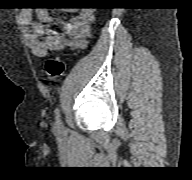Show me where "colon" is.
Masks as SVG:
<instances>
[{
    "instance_id": "obj_1",
    "label": "colon",
    "mask_w": 192,
    "mask_h": 180,
    "mask_svg": "<svg viewBox=\"0 0 192 180\" xmlns=\"http://www.w3.org/2000/svg\"><path fill=\"white\" fill-rule=\"evenodd\" d=\"M65 65L60 56L50 58L44 67V72L49 80H56L64 73Z\"/></svg>"
}]
</instances>
